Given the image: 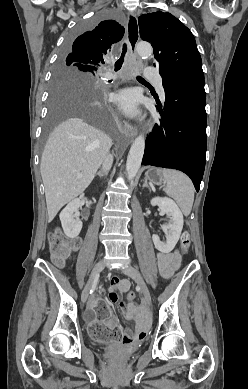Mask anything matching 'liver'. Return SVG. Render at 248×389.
<instances>
[{
	"instance_id": "obj_1",
	"label": "liver",
	"mask_w": 248,
	"mask_h": 389,
	"mask_svg": "<svg viewBox=\"0 0 248 389\" xmlns=\"http://www.w3.org/2000/svg\"><path fill=\"white\" fill-rule=\"evenodd\" d=\"M111 145L108 135L81 119L66 120L53 130L40 165L50 222L90 185Z\"/></svg>"
}]
</instances>
